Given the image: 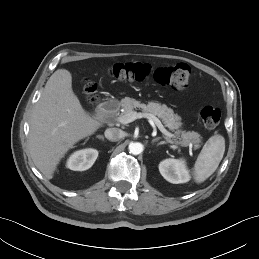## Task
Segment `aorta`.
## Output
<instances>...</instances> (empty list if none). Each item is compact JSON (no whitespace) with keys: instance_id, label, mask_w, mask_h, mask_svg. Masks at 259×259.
<instances>
[{"instance_id":"1","label":"aorta","mask_w":259,"mask_h":259,"mask_svg":"<svg viewBox=\"0 0 259 259\" xmlns=\"http://www.w3.org/2000/svg\"><path fill=\"white\" fill-rule=\"evenodd\" d=\"M143 144L139 142L131 143L129 145V152L133 155H138L143 151Z\"/></svg>"}]
</instances>
